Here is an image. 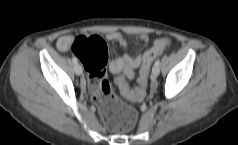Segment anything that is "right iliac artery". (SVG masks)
<instances>
[{
  "label": "right iliac artery",
  "instance_id": "right-iliac-artery-1",
  "mask_svg": "<svg viewBox=\"0 0 238 145\" xmlns=\"http://www.w3.org/2000/svg\"><path fill=\"white\" fill-rule=\"evenodd\" d=\"M72 60H73V62H74V64H77V58L75 57V56H72Z\"/></svg>",
  "mask_w": 238,
  "mask_h": 145
}]
</instances>
